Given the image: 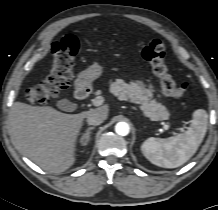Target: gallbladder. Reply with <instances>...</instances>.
Masks as SVG:
<instances>
[{
  "label": "gallbladder",
  "instance_id": "1",
  "mask_svg": "<svg viewBox=\"0 0 218 210\" xmlns=\"http://www.w3.org/2000/svg\"><path fill=\"white\" fill-rule=\"evenodd\" d=\"M63 103V100H61V101H59L58 103H57V106L59 107V108H62L63 109V107H62V104ZM65 110H69V109H65Z\"/></svg>",
  "mask_w": 218,
  "mask_h": 210
}]
</instances>
